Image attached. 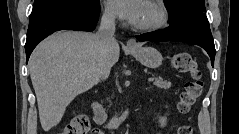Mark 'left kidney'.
<instances>
[{"label":"left kidney","instance_id":"left-kidney-1","mask_svg":"<svg viewBox=\"0 0 239 134\" xmlns=\"http://www.w3.org/2000/svg\"><path fill=\"white\" fill-rule=\"evenodd\" d=\"M158 122L160 123L161 127H165L167 123V118L166 117H159Z\"/></svg>","mask_w":239,"mask_h":134}]
</instances>
